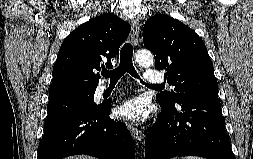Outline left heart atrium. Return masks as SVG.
I'll return each instance as SVG.
<instances>
[{"label": "left heart atrium", "mask_w": 253, "mask_h": 159, "mask_svg": "<svg viewBox=\"0 0 253 159\" xmlns=\"http://www.w3.org/2000/svg\"><path fill=\"white\" fill-rule=\"evenodd\" d=\"M148 113V104L142 97L129 99L118 107V115L121 118L137 123L144 122L148 117Z\"/></svg>", "instance_id": "obj_1"}]
</instances>
